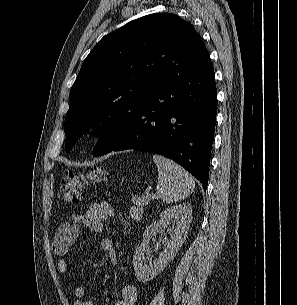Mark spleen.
<instances>
[{
  "mask_svg": "<svg viewBox=\"0 0 297 305\" xmlns=\"http://www.w3.org/2000/svg\"><path fill=\"white\" fill-rule=\"evenodd\" d=\"M153 160L158 168L156 190L164 203L181 201L193 192L194 179L186 170L160 155H153Z\"/></svg>",
  "mask_w": 297,
  "mask_h": 305,
  "instance_id": "obj_1",
  "label": "spleen"
}]
</instances>
